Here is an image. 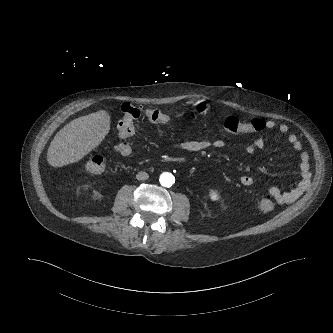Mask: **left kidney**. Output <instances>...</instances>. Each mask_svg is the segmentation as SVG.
Returning a JSON list of instances; mask_svg holds the SVG:
<instances>
[{
	"mask_svg": "<svg viewBox=\"0 0 333 333\" xmlns=\"http://www.w3.org/2000/svg\"><path fill=\"white\" fill-rule=\"evenodd\" d=\"M210 198H211V200L216 201V200H218L219 196L216 192L212 191L210 193Z\"/></svg>",
	"mask_w": 333,
	"mask_h": 333,
	"instance_id": "1",
	"label": "left kidney"
}]
</instances>
